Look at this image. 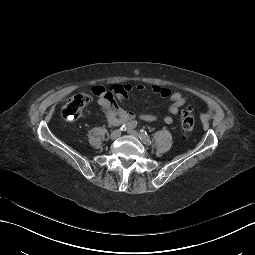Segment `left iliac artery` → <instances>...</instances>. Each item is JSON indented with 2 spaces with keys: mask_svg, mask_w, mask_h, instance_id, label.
Segmentation results:
<instances>
[{
  "mask_svg": "<svg viewBox=\"0 0 255 255\" xmlns=\"http://www.w3.org/2000/svg\"><path fill=\"white\" fill-rule=\"evenodd\" d=\"M140 136H141V140L146 143V144H151V140L147 134V132L143 129L140 130Z\"/></svg>",
  "mask_w": 255,
  "mask_h": 255,
  "instance_id": "44dca946",
  "label": "left iliac artery"
}]
</instances>
